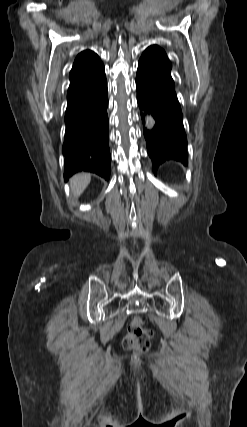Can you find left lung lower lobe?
Masks as SVG:
<instances>
[{"label": "left lung lower lobe", "mask_w": 247, "mask_h": 427, "mask_svg": "<svg viewBox=\"0 0 247 427\" xmlns=\"http://www.w3.org/2000/svg\"><path fill=\"white\" fill-rule=\"evenodd\" d=\"M136 89L140 110L151 114L156 121L152 129H143L154 172L168 160L186 164L187 138L182 111L170 73L154 61L141 57L138 63ZM141 116L144 123V116Z\"/></svg>", "instance_id": "left-lung-lower-lobe-1"}]
</instances>
